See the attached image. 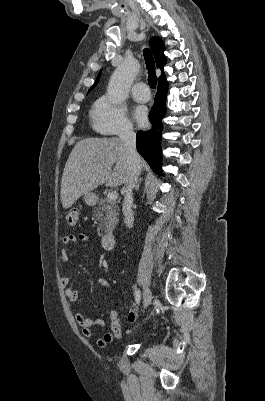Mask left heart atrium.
I'll return each mask as SVG.
<instances>
[{"label":"left heart atrium","instance_id":"1","mask_svg":"<svg viewBox=\"0 0 265 401\" xmlns=\"http://www.w3.org/2000/svg\"><path fill=\"white\" fill-rule=\"evenodd\" d=\"M133 115L139 124H143L147 120V109L143 106L137 105L134 107Z\"/></svg>","mask_w":265,"mask_h":401}]
</instances>
